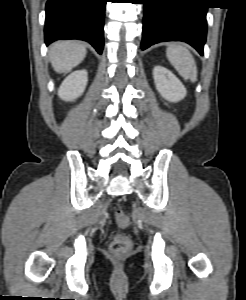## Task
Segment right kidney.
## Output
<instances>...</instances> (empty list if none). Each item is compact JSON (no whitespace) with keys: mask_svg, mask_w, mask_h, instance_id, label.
Listing matches in <instances>:
<instances>
[{"mask_svg":"<svg viewBox=\"0 0 246 300\" xmlns=\"http://www.w3.org/2000/svg\"><path fill=\"white\" fill-rule=\"evenodd\" d=\"M88 81L86 70H77L68 75L58 89V96L64 101H74L81 96Z\"/></svg>","mask_w":246,"mask_h":300,"instance_id":"ca27d5eb","label":"right kidney"}]
</instances>
